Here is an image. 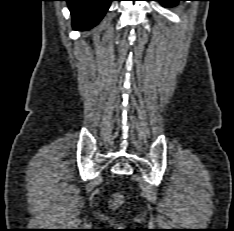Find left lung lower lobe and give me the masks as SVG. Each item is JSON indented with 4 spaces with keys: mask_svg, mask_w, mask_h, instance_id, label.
Listing matches in <instances>:
<instances>
[{
    "mask_svg": "<svg viewBox=\"0 0 234 231\" xmlns=\"http://www.w3.org/2000/svg\"><path fill=\"white\" fill-rule=\"evenodd\" d=\"M157 1H160L164 6H172L176 5L178 1H184V0H157Z\"/></svg>",
    "mask_w": 234,
    "mask_h": 231,
    "instance_id": "obj_1",
    "label": "left lung lower lobe"
}]
</instances>
